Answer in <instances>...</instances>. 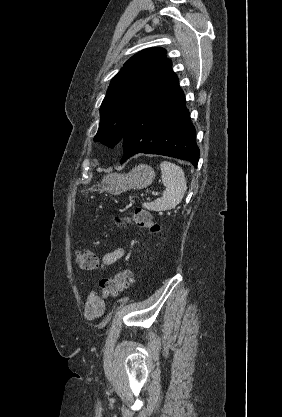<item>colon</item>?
Masks as SVG:
<instances>
[{
    "label": "colon",
    "instance_id": "1",
    "mask_svg": "<svg viewBox=\"0 0 282 417\" xmlns=\"http://www.w3.org/2000/svg\"><path fill=\"white\" fill-rule=\"evenodd\" d=\"M113 220L119 227H123L128 224H135L139 227L147 229L152 233L159 231V225L155 223L152 215L141 208H136L126 213H117L114 215ZM79 267L92 271L98 268L99 263L95 254L87 250H79L76 258ZM132 271L125 269L114 277L101 279L99 282L100 293H99V307L105 303V300L116 296L120 291L127 288L132 282Z\"/></svg>",
    "mask_w": 282,
    "mask_h": 417
}]
</instances>
